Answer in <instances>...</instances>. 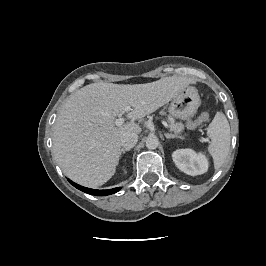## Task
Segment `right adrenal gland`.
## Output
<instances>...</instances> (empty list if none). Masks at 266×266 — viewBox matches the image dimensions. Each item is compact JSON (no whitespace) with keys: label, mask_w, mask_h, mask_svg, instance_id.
Returning a JSON list of instances; mask_svg holds the SVG:
<instances>
[{"label":"right adrenal gland","mask_w":266,"mask_h":266,"mask_svg":"<svg viewBox=\"0 0 266 266\" xmlns=\"http://www.w3.org/2000/svg\"><path fill=\"white\" fill-rule=\"evenodd\" d=\"M126 151H130V149H122L121 154H125Z\"/></svg>","instance_id":"obj_1"}]
</instances>
